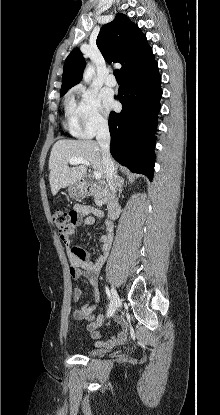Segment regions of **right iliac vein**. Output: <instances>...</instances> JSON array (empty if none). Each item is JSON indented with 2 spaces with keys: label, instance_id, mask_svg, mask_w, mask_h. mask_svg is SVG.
<instances>
[{
  "label": "right iliac vein",
  "instance_id": "right-iliac-vein-1",
  "mask_svg": "<svg viewBox=\"0 0 220 415\" xmlns=\"http://www.w3.org/2000/svg\"><path fill=\"white\" fill-rule=\"evenodd\" d=\"M111 293H112V301H111L109 310L107 312L108 317H110L114 314V312L116 311V309L119 305V295H118V293H117V291L114 287H112Z\"/></svg>",
  "mask_w": 220,
  "mask_h": 415
}]
</instances>
